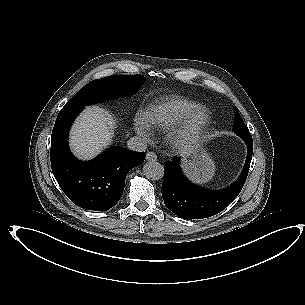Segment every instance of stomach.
<instances>
[{
  "label": "stomach",
  "mask_w": 305,
  "mask_h": 305,
  "mask_svg": "<svg viewBox=\"0 0 305 305\" xmlns=\"http://www.w3.org/2000/svg\"><path fill=\"white\" fill-rule=\"evenodd\" d=\"M207 136H200L194 145L180 155V166L184 175L194 184L203 185L213 179L216 165L207 150Z\"/></svg>",
  "instance_id": "1"
}]
</instances>
